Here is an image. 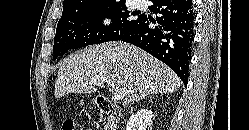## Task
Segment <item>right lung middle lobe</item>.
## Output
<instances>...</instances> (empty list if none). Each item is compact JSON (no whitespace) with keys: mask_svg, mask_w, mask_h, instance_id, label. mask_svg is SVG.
<instances>
[{"mask_svg":"<svg viewBox=\"0 0 249 130\" xmlns=\"http://www.w3.org/2000/svg\"><path fill=\"white\" fill-rule=\"evenodd\" d=\"M136 12L127 11L125 0L93 4L77 11H63L54 38L53 60L68 52L92 44L117 41L141 18L133 19ZM104 18L112 19L104 26Z\"/></svg>","mask_w":249,"mask_h":130,"instance_id":"1","label":"right lung middle lobe"}]
</instances>
